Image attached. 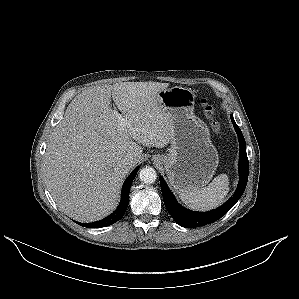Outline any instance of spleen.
Returning <instances> with one entry per match:
<instances>
[{
    "instance_id": "3e777b00",
    "label": "spleen",
    "mask_w": 299,
    "mask_h": 299,
    "mask_svg": "<svg viewBox=\"0 0 299 299\" xmlns=\"http://www.w3.org/2000/svg\"><path fill=\"white\" fill-rule=\"evenodd\" d=\"M229 192V178L220 174L206 187L179 194L181 201L193 210L206 211L223 203Z\"/></svg>"
}]
</instances>
